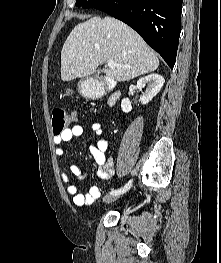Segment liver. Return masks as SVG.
Masks as SVG:
<instances>
[{"label":"liver","instance_id":"6515ba94","mask_svg":"<svg viewBox=\"0 0 221 263\" xmlns=\"http://www.w3.org/2000/svg\"><path fill=\"white\" fill-rule=\"evenodd\" d=\"M107 60L116 66L104 68V73L120 82L159 66L156 54L128 25L112 17H93L76 25L67 37L61 51V79L88 77Z\"/></svg>","mask_w":221,"mask_h":263}]
</instances>
